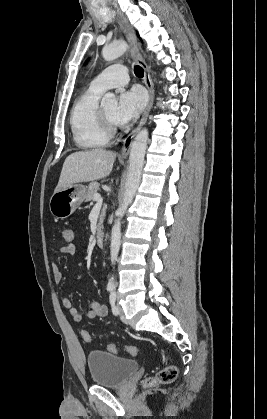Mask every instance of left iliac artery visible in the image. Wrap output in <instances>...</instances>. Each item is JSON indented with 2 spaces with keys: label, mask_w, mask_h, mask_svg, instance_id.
Returning a JSON list of instances; mask_svg holds the SVG:
<instances>
[{
  "label": "left iliac artery",
  "mask_w": 267,
  "mask_h": 419,
  "mask_svg": "<svg viewBox=\"0 0 267 419\" xmlns=\"http://www.w3.org/2000/svg\"><path fill=\"white\" fill-rule=\"evenodd\" d=\"M115 302H116V292L112 290L111 293H110L111 309H112V313L114 315H118L119 312H118V308H117Z\"/></svg>",
  "instance_id": "obj_1"
}]
</instances>
